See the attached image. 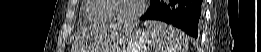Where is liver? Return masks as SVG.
I'll return each instance as SVG.
<instances>
[{"label": "liver", "instance_id": "obj_1", "mask_svg": "<svg viewBox=\"0 0 261 52\" xmlns=\"http://www.w3.org/2000/svg\"><path fill=\"white\" fill-rule=\"evenodd\" d=\"M133 27L131 26L128 31H126L127 33H130V30ZM119 32L117 30H104L101 33L102 39H101V48L102 49H108V48H112L114 47V45L116 44V39L118 38Z\"/></svg>", "mask_w": 261, "mask_h": 52}]
</instances>
